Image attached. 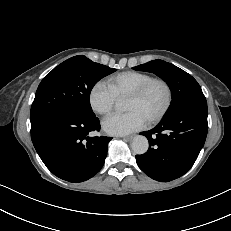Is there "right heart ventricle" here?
<instances>
[{
    "instance_id": "1",
    "label": "right heart ventricle",
    "mask_w": 231,
    "mask_h": 231,
    "mask_svg": "<svg viewBox=\"0 0 231 231\" xmlns=\"http://www.w3.org/2000/svg\"><path fill=\"white\" fill-rule=\"evenodd\" d=\"M152 76L140 71H125L108 78L107 86L118 98L127 97L131 92L151 79Z\"/></svg>"
}]
</instances>
